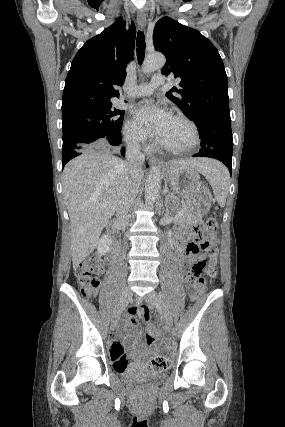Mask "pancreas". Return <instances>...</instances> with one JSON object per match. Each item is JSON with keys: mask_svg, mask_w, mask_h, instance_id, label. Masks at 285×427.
Wrapping results in <instances>:
<instances>
[{"mask_svg": "<svg viewBox=\"0 0 285 427\" xmlns=\"http://www.w3.org/2000/svg\"><path fill=\"white\" fill-rule=\"evenodd\" d=\"M178 211L181 212V215L176 216L175 218L177 220H181L183 218H185L186 216L190 215V207L188 206V204L186 203V207L184 208H178ZM202 218H196L195 221H200Z\"/></svg>", "mask_w": 285, "mask_h": 427, "instance_id": "pancreas-1", "label": "pancreas"}]
</instances>
